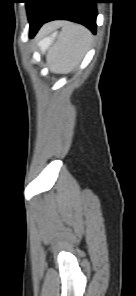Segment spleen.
<instances>
[{
    "label": "spleen",
    "mask_w": 136,
    "mask_h": 296,
    "mask_svg": "<svg viewBox=\"0 0 136 296\" xmlns=\"http://www.w3.org/2000/svg\"><path fill=\"white\" fill-rule=\"evenodd\" d=\"M56 32L39 43L42 51L52 43ZM92 37L83 26L69 24L60 33L51 53V70L56 73H68L75 69L90 48Z\"/></svg>",
    "instance_id": "obj_1"
}]
</instances>
